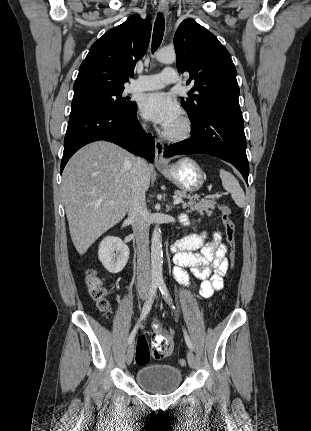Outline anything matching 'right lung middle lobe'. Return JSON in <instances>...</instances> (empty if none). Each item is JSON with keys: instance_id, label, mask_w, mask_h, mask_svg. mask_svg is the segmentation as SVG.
<instances>
[{"instance_id": "1", "label": "right lung middle lobe", "mask_w": 311, "mask_h": 431, "mask_svg": "<svg viewBox=\"0 0 311 431\" xmlns=\"http://www.w3.org/2000/svg\"><path fill=\"white\" fill-rule=\"evenodd\" d=\"M123 91L92 90L74 93L71 104V112L84 108H105L109 110L130 113L137 105L129 102L127 97H122Z\"/></svg>"}]
</instances>
